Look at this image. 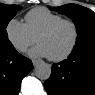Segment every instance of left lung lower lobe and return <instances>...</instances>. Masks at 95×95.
I'll return each mask as SVG.
<instances>
[{
	"instance_id": "left-lung-lower-lobe-1",
	"label": "left lung lower lobe",
	"mask_w": 95,
	"mask_h": 95,
	"mask_svg": "<svg viewBox=\"0 0 95 95\" xmlns=\"http://www.w3.org/2000/svg\"><path fill=\"white\" fill-rule=\"evenodd\" d=\"M44 86L49 95H95V42L54 64Z\"/></svg>"
}]
</instances>
